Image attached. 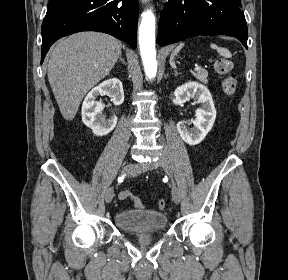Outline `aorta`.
I'll list each match as a JSON object with an SVG mask.
<instances>
[{"instance_id": "aorta-1", "label": "aorta", "mask_w": 288, "mask_h": 280, "mask_svg": "<svg viewBox=\"0 0 288 280\" xmlns=\"http://www.w3.org/2000/svg\"><path fill=\"white\" fill-rule=\"evenodd\" d=\"M155 15L152 10L142 14L139 26V46L146 76L153 79L157 73L155 50Z\"/></svg>"}]
</instances>
